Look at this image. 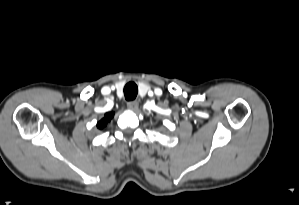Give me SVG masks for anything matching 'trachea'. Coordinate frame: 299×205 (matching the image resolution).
<instances>
[{
	"mask_svg": "<svg viewBox=\"0 0 299 205\" xmlns=\"http://www.w3.org/2000/svg\"><path fill=\"white\" fill-rule=\"evenodd\" d=\"M138 94V86L134 82H129L124 87V95L127 101L134 100Z\"/></svg>",
	"mask_w": 299,
	"mask_h": 205,
	"instance_id": "obj_1",
	"label": "trachea"
}]
</instances>
